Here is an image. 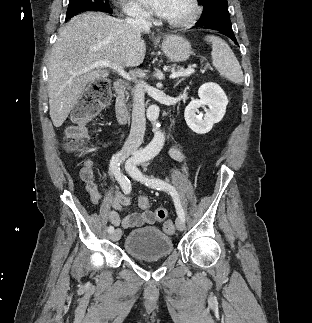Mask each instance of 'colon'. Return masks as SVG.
Segmentation results:
<instances>
[{
	"label": "colon",
	"mask_w": 312,
	"mask_h": 323,
	"mask_svg": "<svg viewBox=\"0 0 312 323\" xmlns=\"http://www.w3.org/2000/svg\"><path fill=\"white\" fill-rule=\"evenodd\" d=\"M111 101L110 82L106 77L93 79L83 91L80 101V107L73 111L72 122L66 130L65 145L70 150L80 149L88 141L89 133L87 124L91 121L102 106ZM88 166V163H85ZM138 206L141 209H148L150 200L141 197L138 200ZM157 219L162 224V229L167 234L175 233V225L168 219V214L164 206H157Z\"/></svg>",
	"instance_id": "5ec220e1"
}]
</instances>
